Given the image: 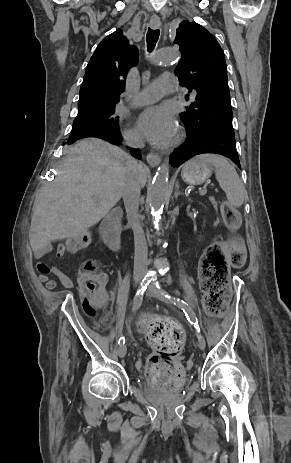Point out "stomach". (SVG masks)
<instances>
[{"mask_svg":"<svg viewBox=\"0 0 291 463\" xmlns=\"http://www.w3.org/2000/svg\"><path fill=\"white\" fill-rule=\"evenodd\" d=\"M213 166L200 158H195L187 162L181 172L184 182L197 185L204 183L212 174Z\"/></svg>","mask_w":291,"mask_h":463,"instance_id":"0dacf381","label":"stomach"}]
</instances>
